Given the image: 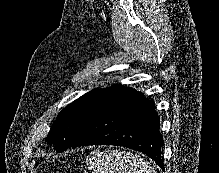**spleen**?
I'll return each mask as SVG.
<instances>
[{
    "label": "spleen",
    "instance_id": "spleen-1",
    "mask_svg": "<svg viewBox=\"0 0 219 173\" xmlns=\"http://www.w3.org/2000/svg\"><path fill=\"white\" fill-rule=\"evenodd\" d=\"M93 173H157L140 156L118 150L94 151L88 157Z\"/></svg>",
    "mask_w": 219,
    "mask_h": 173
}]
</instances>
